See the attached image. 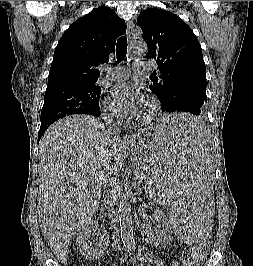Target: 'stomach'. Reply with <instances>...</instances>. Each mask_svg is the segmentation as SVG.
Masks as SVG:
<instances>
[{"label":"stomach","instance_id":"stomach-1","mask_svg":"<svg viewBox=\"0 0 253 266\" xmlns=\"http://www.w3.org/2000/svg\"><path fill=\"white\" fill-rule=\"evenodd\" d=\"M156 145H159L157 134L152 138L150 143L139 140L137 143L129 146V151L139 160L148 162L154 160L152 158V151L155 150Z\"/></svg>","mask_w":253,"mask_h":266}]
</instances>
